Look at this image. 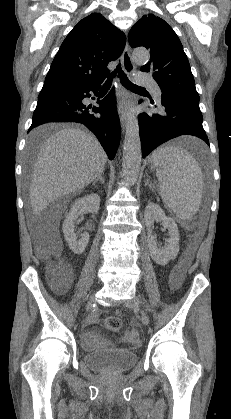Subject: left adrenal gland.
Masks as SVG:
<instances>
[{
	"instance_id": "obj_1",
	"label": "left adrenal gland",
	"mask_w": 231,
	"mask_h": 419,
	"mask_svg": "<svg viewBox=\"0 0 231 419\" xmlns=\"http://www.w3.org/2000/svg\"><path fill=\"white\" fill-rule=\"evenodd\" d=\"M149 179H147V181H146V183H145V186H149L151 189H152V191H154V189H153V186H152V184H149Z\"/></svg>"
}]
</instances>
